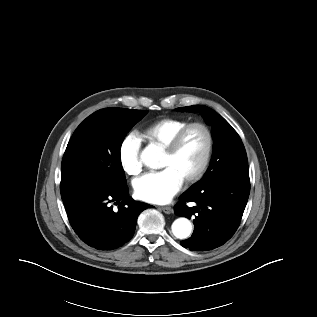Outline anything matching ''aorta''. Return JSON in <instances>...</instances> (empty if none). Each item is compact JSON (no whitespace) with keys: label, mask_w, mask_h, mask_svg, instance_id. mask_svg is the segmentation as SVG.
Instances as JSON below:
<instances>
[{"label":"aorta","mask_w":317,"mask_h":317,"mask_svg":"<svg viewBox=\"0 0 317 317\" xmlns=\"http://www.w3.org/2000/svg\"><path fill=\"white\" fill-rule=\"evenodd\" d=\"M161 156V149L156 145L150 144L142 151L141 161L145 166L157 169L159 167V160ZM171 229L176 238L186 239L191 234L192 224L187 218L180 217L172 223Z\"/></svg>","instance_id":"obj_1"}]
</instances>
